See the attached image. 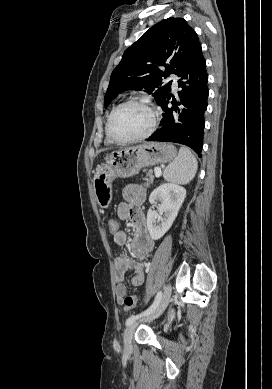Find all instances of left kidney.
Instances as JSON below:
<instances>
[{"label": "left kidney", "mask_w": 272, "mask_h": 389, "mask_svg": "<svg viewBox=\"0 0 272 389\" xmlns=\"http://www.w3.org/2000/svg\"><path fill=\"white\" fill-rule=\"evenodd\" d=\"M185 196V188L175 183L162 184L152 191L149 196L152 207L156 201L161 202L158 205L159 214L152 208L147 212V228L152 239H160L171 228Z\"/></svg>", "instance_id": "1"}]
</instances>
